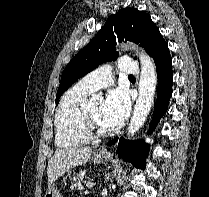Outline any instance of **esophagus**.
<instances>
[{
  "mask_svg": "<svg viewBox=\"0 0 209 197\" xmlns=\"http://www.w3.org/2000/svg\"><path fill=\"white\" fill-rule=\"evenodd\" d=\"M101 153L108 154V152L104 149L100 150Z\"/></svg>",
  "mask_w": 209,
  "mask_h": 197,
  "instance_id": "obj_1",
  "label": "esophagus"
}]
</instances>
